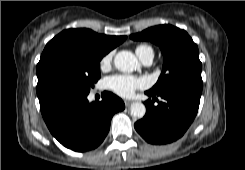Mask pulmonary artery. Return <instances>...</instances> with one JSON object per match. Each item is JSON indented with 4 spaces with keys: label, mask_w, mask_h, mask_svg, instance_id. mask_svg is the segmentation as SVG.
Here are the masks:
<instances>
[{
    "label": "pulmonary artery",
    "mask_w": 245,
    "mask_h": 170,
    "mask_svg": "<svg viewBox=\"0 0 245 170\" xmlns=\"http://www.w3.org/2000/svg\"><path fill=\"white\" fill-rule=\"evenodd\" d=\"M152 60H153V57L149 56V57L143 59L142 61L145 65H150L152 63Z\"/></svg>",
    "instance_id": "pulmonary-artery-1"
}]
</instances>
